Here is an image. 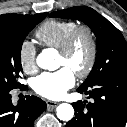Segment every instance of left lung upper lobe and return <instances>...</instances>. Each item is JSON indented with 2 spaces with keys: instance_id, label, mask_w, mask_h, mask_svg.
I'll return each mask as SVG.
<instances>
[{
  "instance_id": "5c2ea615",
  "label": "left lung upper lobe",
  "mask_w": 127,
  "mask_h": 127,
  "mask_svg": "<svg viewBox=\"0 0 127 127\" xmlns=\"http://www.w3.org/2000/svg\"><path fill=\"white\" fill-rule=\"evenodd\" d=\"M50 17L77 19L87 24L97 39V55L92 71L77 90L95 85L103 77L127 78V44L121 32L94 9L82 6L51 13Z\"/></svg>"
}]
</instances>
